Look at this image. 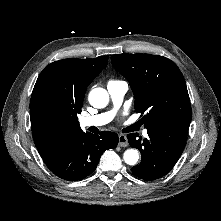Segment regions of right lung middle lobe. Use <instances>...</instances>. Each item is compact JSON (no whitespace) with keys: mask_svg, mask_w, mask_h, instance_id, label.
<instances>
[{"mask_svg":"<svg viewBox=\"0 0 221 221\" xmlns=\"http://www.w3.org/2000/svg\"><path fill=\"white\" fill-rule=\"evenodd\" d=\"M83 98L73 90L58 67L44 68L34 86L30 106L50 115L77 120Z\"/></svg>","mask_w":221,"mask_h":221,"instance_id":"right-lung-middle-lobe-1","label":"right lung middle lobe"}]
</instances>
